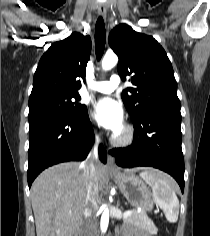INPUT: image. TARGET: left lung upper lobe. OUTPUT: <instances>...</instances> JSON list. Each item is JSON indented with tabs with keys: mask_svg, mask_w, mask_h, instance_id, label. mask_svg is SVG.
I'll list each match as a JSON object with an SVG mask.
<instances>
[{
	"mask_svg": "<svg viewBox=\"0 0 210 236\" xmlns=\"http://www.w3.org/2000/svg\"><path fill=\"white\" fill-rule=\"evenodd\" d=\"M109 44L119 57L121 78L132 75L133 86L121 95L132 120L154 109L180 111L171 62L153 37L121 24L111 31Z\"/></svg>",
	"mask_w": 210,
	"mask_h": 236,
	"instance_id": "left-lung-upper-lobe-1",
	"label": "left lung upper lobe"
}]
</instances>
